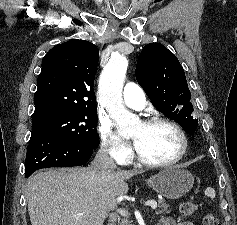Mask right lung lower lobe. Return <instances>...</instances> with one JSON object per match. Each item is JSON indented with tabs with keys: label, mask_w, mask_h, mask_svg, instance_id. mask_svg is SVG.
Returning a JSON list of instances; mask_svg holds the SVG:
<instances>
[{
	"label": "right lung lower lobe",
	"mask_w": 237,
	"mask_h": 225,
	"mask_svg": "<svg viewBox=\"0 0 237 225\" xmlns=\"http://www.w3.org/2000/svg\"><path fill=\"white\" fill-rule=\"evenodd\" d=\"M94 149L60 136L34 132L27 149L25 177L42 168L83 165Z\"/></svg>",
	"instance_id": "right-lung-lower-lobe-1"
}]
</instances>
